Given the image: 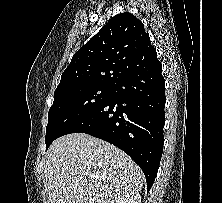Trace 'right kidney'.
Returning a JSON list of instances; mask_svg holds the SVG:
<instances>
[{"label": "right kidney", "mask_w": 222, "mask_h": 203, "mask_svg": "<svg viewBox=\"0 0 222 203\" xmlns=\"http://www.w3.org/2000/svg\"><path fill=\"white\" fill-rule=\"evenodd\" d=\"M116 203H141L139 193H130L120 198Z\"/></svg>", "instance_id": "right-kidney-1"}]
</instances>
